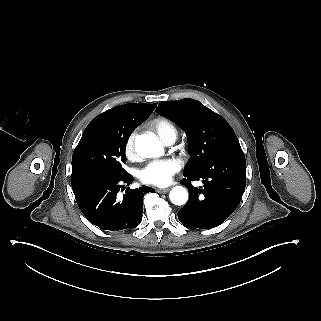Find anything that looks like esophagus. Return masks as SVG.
<instances>
[{
    "instance_id": "obj_1",
    "label": "esophagus",
    "mask_w": 321,
    "mask_h": 321,
    "mask_svg": "<svg viewBox=\"0 0 321 321\" xmlns=\"http://www.w3.org/2000/svg\"><path fill=\"white\" fill-rule=\"evenodd\" d=\"M169 191V188H157L156 192L163 194V193H167Z\"/></svg>"
}]
</instances>
